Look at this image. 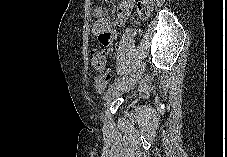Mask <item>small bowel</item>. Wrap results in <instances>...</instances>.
Here are the masks:
<instances>
[{"label": "small bowel", "instance_id": "c3829d8e", "mask_svg": "<svg viewBox=\"0 0 227 157\" xmlns=\"http://www.w3.org/2000/svg\"><path fill=\"white\" fill-rule=\"evenodd\" d=\"M134 3L135 0H120L117 6L116 20H112L107 16L104 7H97L93 10L92 16L95 22L92 26V32L103 45L109 46L116 40V26H122L125 23Z\"/></svg>", "mask_w": 227, "mask_h": 157}]
</instances>
